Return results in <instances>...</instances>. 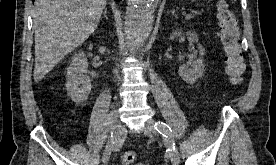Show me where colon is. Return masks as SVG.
<instances>
[{"label": "colon", "mask_w": 276, "mask_h": 165, "mask_svg": "<svg viewBox=\"0 0 276 165\" xmlns=\"http://www.w3.org/2000/svg\"><path fill=\"white\" fill-rule=\"evenodd\" d=\"M218 33L224 53L225 71L234 85L243 80L245 64L239 46V29L234 13L225 2L218 4ZM136 160L133 152L121 155L122 165H132Z\"/></svg>", "instance_id": "colon-1"}]
</instances>
